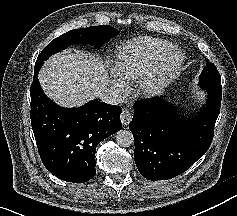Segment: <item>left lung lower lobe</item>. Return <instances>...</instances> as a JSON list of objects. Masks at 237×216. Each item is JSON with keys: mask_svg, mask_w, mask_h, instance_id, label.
<instances>
[{"mask_svg": "<svg viewBox=\"0 0 237 216\" xmlns=\"http://www.w3.org/2000/svg\"><path fill=\"white\" fill-rule=\"evenodd\" d=\"M220 103L221 95L210 93L206 107L185 121L162 97L137 101L129 129L141 175L152 181L167 180L188 170L212 142Z\"/></svg>", "mask_w": 237, "mask_h": 216, "instance_id": "0a47b994", "label": "left lung lower lobe"}]
</instances>
